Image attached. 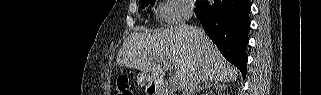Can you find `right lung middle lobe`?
Segmentation results:
<instances>
[{"label":"right lung middle lobe","instance_id":"obj_1","mask_svg":"<svg viewBox=\"0 0 321 95\" xmlns=\"http://www.w3.org/2000/svg\"><path fill=\"white\" fill-rule=\"evenodd\" d=\"M155 0H142V8L147 7L149 4L154 5ZM199 1L196 2V5H198Z\"/></svg>","mask_w":321,"mask_h":95}]
</instances>
